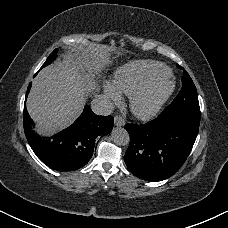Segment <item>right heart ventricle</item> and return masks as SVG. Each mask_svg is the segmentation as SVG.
I'll return each instance as SVG.
<instances>
[{
    "mask_svg": "<svg viewBox=\"0 0 228 228\" xmlns=\"http://www.w3.org/2000/svg\"><path fill=\"white\" fill-rule=\"evenodd\" d=\"M168 74L169 70L160 63L139 62L121 68L116 73V85L133 96L147 85L164 80Z\"/></svg>",
    "mask_w": 228,
    "mask_h": 228,
    "instance_id": "obj_1",
    "label": "right heart ventricle"
}]
</instances>
